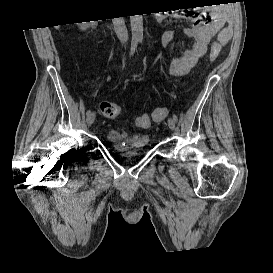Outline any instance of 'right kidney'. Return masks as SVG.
Listing matches in <instances>:
<instances>
[{
	"label": "right kidney",
	"mask_w": 273,
	"mask_h": 273,
	"mask_svg": "<svg viewBox=\"0 0 273 273\" xmlns=\"http://www.w3.org/2000/svg\"><path fill=\"white\" fill-rule=\"evenodd\" d=\"M91 22L93 23V21H91ZM79 25H80L81 30H86L89 26L95 25V24H89L87 22H82Z\"/></svg>",
	"instance_id": "right-kidney-1"
}]
</instances>
